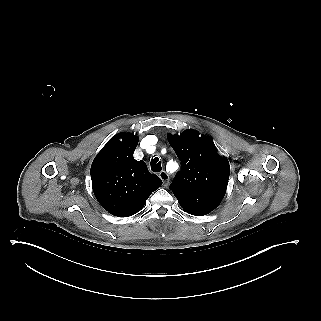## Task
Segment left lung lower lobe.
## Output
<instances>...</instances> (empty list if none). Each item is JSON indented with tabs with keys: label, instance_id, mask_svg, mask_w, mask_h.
<instances>
[{
	"label": "left lung lower lobe",
	"instance_id": "left-lung-lower-lobe-1",
	"mask_svg": "<svg viewBox=\"0 0 321 321\" xmlns=\"http://www.w3.org/2000/svg\"><path fill=\"white\" fill-rule=\"evenodd\" d=\"M226 191L213 190L198 193H174L180 206L189 214L202 216L210 213L221 202Z\"/></svg>",
	"mask_w": 321,
	"mask_h": 321
}]
</instances>
